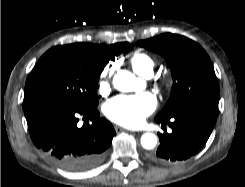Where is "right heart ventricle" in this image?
<instances>
[{
	"label": "right heart ventricle",
	"mask_w": 245,
	"mask_h": 187,
	"mask_svg": "<svg viewBox=\"0 0 245 187\" xmlns=\"http://www.w3.org/2000/svg\"><path fill=\"white\" fill-rule=\"evenodd\" d=\"M129 63L132 69L142 76L150 75L156 64L154 58L149 53L140 50L131 54Z\"/></svg>",
	"instance_id": "right-heart-ventricle-1"
}]
</instances>
